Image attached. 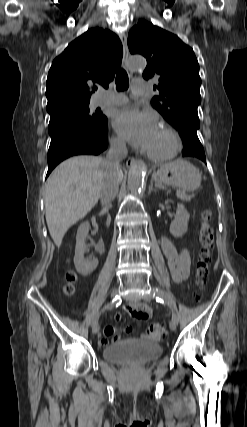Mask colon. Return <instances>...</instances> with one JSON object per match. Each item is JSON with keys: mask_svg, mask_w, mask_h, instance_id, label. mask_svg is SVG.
Returning <instances> with one entry per match:
<instances>
[{"mask_svg": "<svg viewBox=\"0 0 247 427\" xmlns=\"http://www.w3.org/2000/svg\"><path fill=\"white\" fill-rule=\"evenodd\" d=\"M211 213L205 210L201 216V227L199 233L200 252L199 260L197 264V278L198 283L201 285L204 279L207 277L210 262L211 247L213 244V229L210 225ZM77 279V275L73 271H69L66 274V284L64 291L67 295L74 293V283ZM148 335L155 340L161 339L165 335V328L158 323H151L148 326Z\"/></svg>", "mask_w": 247, "mask_h": 427, "instance_id": "obj_1", "label": "colon"}]
</instances>
